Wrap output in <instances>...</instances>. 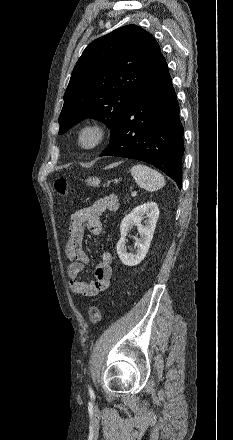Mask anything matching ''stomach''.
Here are the masks:
<instances>
[{
	"label": "stomach",
	"instance_id": "0dacf381",
	"mask_svg": "<svg viewBox=\"0 0 233 440\" xmlns=\"http://www.w3.org/2000/svg\"><path fill=\"white\" fill-rule=\"evenodd\" d=\"M88 185L96 187L100 185V179L98 177H89L87 180Z\"/></svg>",
	"mask_w": 233,
	"mask_h": 440
}]
</instances>
